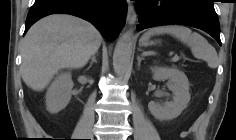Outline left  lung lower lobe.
I'll return each instance as SVG.
<instances>
[{
  "instance_id": "left-lung-lower-lobe-1",
  "label": "left lung lower lobe",
  "mask_w": 236,
  "mask_h": 140,
  "mask_svg": "<svg viewBox=\"0 0 236 140\" xmlns=\"http://www.w3.org/2000/svg\"><path fill=\"white\" fill-rule=\"evenodd\" d=\"M213 0H136L135 8L140 24L145 28L180 24L209 33L221 45L220 26Z\"/></svg>"
}]
</instances>
